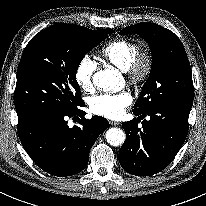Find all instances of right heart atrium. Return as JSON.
I'll return each instance as SVG.
<instances>
[{"label": "right heart atrium", "instance_id": "1", "mask_svg": "<svg viewBox=\"0 0 206 206\" xmlns=\"http://www.w3.org/2000/svg\"><path fill=\"white\" fill-rule=\"evenodd\" d=\"M97 69L96 62L89 56L81 58L75 69V81L84 92L94 89V74Z\"/></svg>", "mask_w": 206, "mask_h": 206}]
</instances>
